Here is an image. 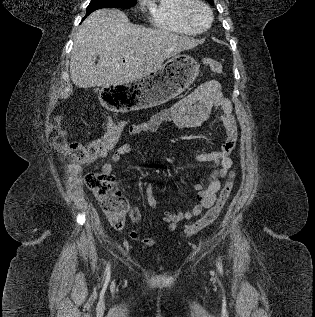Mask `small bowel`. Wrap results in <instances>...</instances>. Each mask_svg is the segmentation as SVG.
Returning <instances> with one entry per match:
<instances>
[{
	"mask_svg": "<svg viewBox=\"0 0 315 317\" xmlns=\"http://www.w3.org/2000/svg\"><path fill=\"white\" fill-rule=\"evenodd\" d=\"M213 111L218 112V118L226 132V140L219 150L198 153L194 156L197 162L213 163L215 169L207 185L194 184L193 188L197 192V205L185 212H164L163 220L167 224L169 232L174 231L180 221L198 216L204 209L212 207L215 202L216 194L221 186V178L226 175L232 166L230 154L236 145L238 137L237 123L231 104L222 96L220 84L212 80L203 83L194 92L179 100L172 107L156 113L149 120L131 124L128 127V132L132 136L142 133H154L161 124L167 122L174 123L180 129L196 128L206 122ZM132 151L133 148L130 144L120 145L113 152L111 162L104 163L102 169L106 173L111 174L113 163L119 162ZM146 199L151 208L159 209L152 183H148L146 186ZM129 217L134 224L140 222L141 212L138 207H130ZM130 238L145 246H153L159 241L158 237H143L138 231H132Z\"/></svg>",
	"mask_w": 315,
	"mask_h": 317,
	"instance_id": "1",
	"label": "small bowel"
}]
</instances>
